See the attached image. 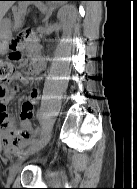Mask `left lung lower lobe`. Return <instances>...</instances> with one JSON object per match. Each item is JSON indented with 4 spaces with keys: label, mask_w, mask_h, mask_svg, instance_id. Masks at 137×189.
I'll use <instances>...</instances> for the list:
<instances>
[{
    "label": "left lung lower lobe",
    "mask_w": 137,
    "mask_h": 189,
    "mask_svg": "<svg viewBox=\"0 0 137 189\" xmlns=\"http://www.w3.org/2000/svg\"><path fill=\"white\" fill-rule=\"evenodd\" d=\"M67 1H80V0H67Z\"/></svg>",
    "instance_id": "obj_1"
}]
</instances>
